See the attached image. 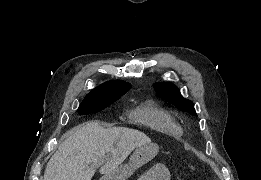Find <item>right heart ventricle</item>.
Instances as JSON below:
<instances>
[{
    "label": "right heart ventricle",
    "instance_id": "e07e8e85",
    "mask_svg": "<svg viewBox=\"0 0 261 180\" xmlns=\"http://www.w3.org/2000/svg\"><path fill=\"white\" fill-rule=\"evenodd\" d=\"M127 121H142L138 131L147 133H166V138H139L156 139V142L180 140L184 136V129L176 118L164 107L154 101L147 100L131 107L127 112Z\"/></svg>",
    "mask_w": 261,
    "mask_h": 180
}]
</instances>
